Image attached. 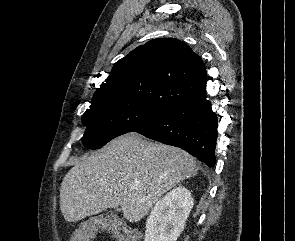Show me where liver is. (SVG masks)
<instances>
[{
  "label": "liver",
  "mask_w": 295,
  "mask_h": 241,
  "mask_svg": "<svg viewBox=\"0 0 295 241\" xmlns=\"http://www.w3.org/2000/svg\"><path fill=\"white\" fill-rule=\"evenodd\" d=\"M196 172L195 159L184 150L126 134L75 163L61 184L60 209L66 221L76 222L121 206L125 219L139 222L167 191Z\"/></svg>",
  "instance_id": "liver-1"
}]
</instances>
